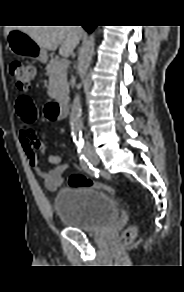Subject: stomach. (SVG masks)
Segmentation results:
<instances>
[{"label": "stomach", "mask_w": 184, "mask_h": 292, "mask_svg": "<svg viewBox=\"0 0 184 292\" xmlns=\"http://www.w3.org/2000/svg\"><path fill=\"white\" fill-rule=\"evenodd\" d=\"M7 46L11 53L21 57H30L41 63H45L48 59L46 50L38 45L27 33L18 29L11 30L8 33Z\"/></svg>", "instance_id": "obj_1"}]
</instances>
